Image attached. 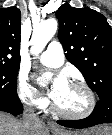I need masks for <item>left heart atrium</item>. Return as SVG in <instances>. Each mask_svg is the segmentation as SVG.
Instances as JSON below:
<instances>
[{"instance_id":"obj_1","label":"left heart atrium","mask_w":112,"mask_h":135,"mask_svg":"<svg viewBox=\"0 0 112 135\" xmlns=\"http://www.w3.org/2000/svg\"><path fill=\"white\" fill-rule=\"evenodd\" d=\"M68 86V81L65 77V75L60 74L58 75L53 83V86L49 92L50 96L55 100L57 99L63 91L67 88Z\"/></svg>"}]
</instances>
